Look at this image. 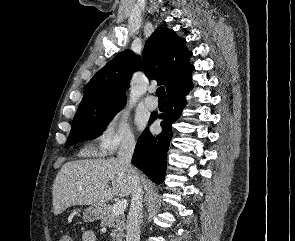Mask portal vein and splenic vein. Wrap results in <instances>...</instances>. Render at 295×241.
Here are the masks:
<instances>
[{"instance_id": "portal-vein-and-splenic-vein-1", "label": "portal vein and splenic vein", "mask_w": 295, "mask_h": 241, "mask_svg": "<svg viewBox=\"0 0 295 241\" xmlns=\"http://www.w3.org/2000/svg\"><path fill=\"white\" fill-rule=\"evenodd\" d=\"M127 207V200L122 199L118 201L116 204L113 206V214L118 215V214H123L124 210Z\"/></svg>"}]
</instances>
